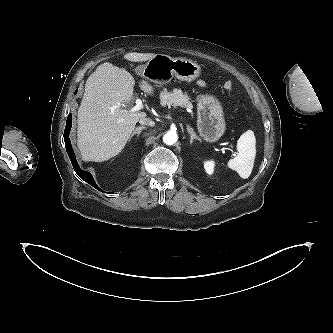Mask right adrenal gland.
Listing matches in <instances>:
<instances>
[{
    "label": "right adrenal gland",
    "instance_id": "1",
    "mask_svg": "<svg viewBox=\"0 0 333 333\" xmlns=\"http://www.w3.org/2000/svg\"><path fill=\"white\" fill-rule=\"evenodd\" d=\"M143 129H145L144 126H139V127H137V128L134 130V132L131 134V136H130V138H129V141L131 140V138H132L134 135H136V136L138 137Z\"/></svg>",
    "mask_w": 333,
    "mask_h": 333
}]
</instances>
